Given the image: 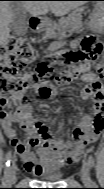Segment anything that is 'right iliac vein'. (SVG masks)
<instances>
[{
    "label": "right iliac vein",
    "instance_id": "1",
    "mask_svg": "<svg viewBox=\"0 0 104 189\" xmlns=\"http://www.w3.org/2000/svg\"><path fill=\"white\" fill-rule=\"evenodd\" d=\"M16 173H17V166L14 162H12L7 174V178H8L7 183H13L16 180Z\"/></svg>",
    "mask_w": 104,
    "mask_h": 189
}]
</instances>
